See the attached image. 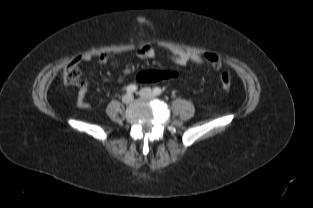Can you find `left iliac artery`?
Segmentation results:
<instances>
[{"mask_svg":"<svg viewBox=\"0 0 313 208\" xmlns=\"http://www.w3.org/2000/svg\"><path fill=\"white\" fill-rule=\"evenodd\" d=\"M153 92H154L155 95H160V94L162 93V90H161V88H159V87H155V88L153 89Z\"/></svg>","mask_w":313,"mask_h":208,"instance_id":"1","label":"left iliac artery"}]
</instances>
